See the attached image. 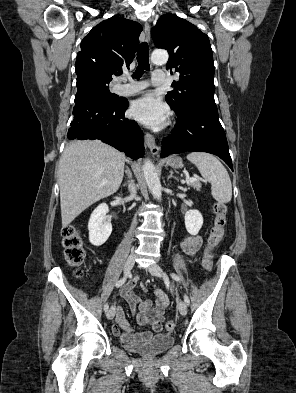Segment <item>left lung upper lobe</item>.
I'll return each mask as SVG.
<instances>
[{
    "label": "left lung upper lobe",
    "mask_w": 296,
    "mask_h": 393,
    "mask_svg": "<svg viewBox=\"0 0 296 393\" xmlns=\"http://www.w3.org/2000/svg\"><path fill=\"white\" fill-rule=\"evenodd\" d=\"M156 47L169 52L167 69L179 74L174 90L165 99L178 118L200 104L214 105V64L209 38L195 25L173 14H164L152 28Z\"/></svg>",
    "instance_id": "1"
}]
</instances>
